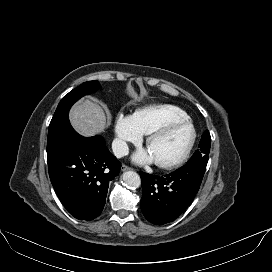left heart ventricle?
I'll use <instances>...</instances> for the list:
<instances>
[{
	"label": "left heart ventricle",
	"instance_id": "left-heart-ventricle-1",
	"mask_svg": "<svg viewBox=\"0 0 272 272\" xmlns=\"http://www.w3.org/2000/svg\"><path fill=\"white\" fill-rule=\"evenodd\" d=\"M191 136L186 125H179L156 138L149 146V151L157 162H170L184 151Z\"/></svg>",
	"mask_w": 272,
	"mask_h": 272
}]
</instances>
